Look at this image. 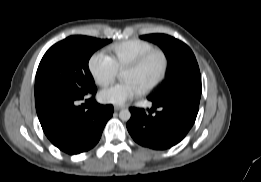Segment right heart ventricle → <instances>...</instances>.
Wrapping results in <instances>:
<instances>
[{
    "instance_id": "right-heart-ventricle-1",
    "label": "right heart ventricle",
    "mask_w": 261,
    "mask_h": 182,
    "mask_svg": "<svg viewBox=\"0 0 261 182\" xmlns=\"http://www.w3.org/2000/svg\"><path fill=\"white\" fill-rule=\"evenodd\" d=\"M155 48L151 43L140 39H128L108 47V57L118 71L143 53Z\"/></svg>"
}]
</instances>
